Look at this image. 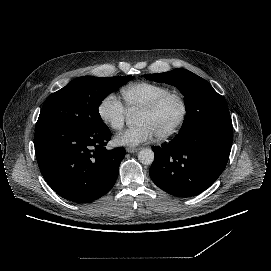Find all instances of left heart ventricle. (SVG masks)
Returning <instances> with one entry per match:
<instances>
[{
  "mask_svg": "<svg viewBox=\"0 0 271 271\" xmlns=\"http://www.w3.org/2000/svg\"><path fill=\"white\" fill-rule=\"evenodd\" d=\"M181 115V105L177 98L169 99L159 110L151 114L138 113L136 125L147 124L155 136L170 130Z\"/></svg>",
  "mask_w": 271,
  "mask_h": 271,
  "instance_id": "b2bd125f",
  "label": "left heart ventricle"
}]
</instances>
